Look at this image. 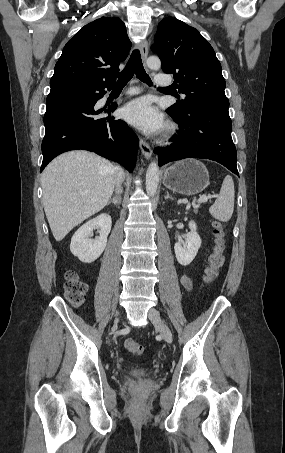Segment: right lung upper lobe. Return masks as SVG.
I'll return each mask as SVG.
<instances>
[{
  "label": "right lung upper lobe",
  "instance_id": "1",
  "mask_svg": "<svg viewBox=\"0 0 285 453\" xmlns=\"http://www.w3.org/2000/svg\"><path fill=\"white\" fill-rule=\"evenodd\" d=\"M131 48L125 24L115 17H102L85 25L63 48L54 68L50 87L80 85L90 89L113 87Z\"/></svg>",
  "mask_w": 285,
  "mask_h": 453
}]
</instances>
